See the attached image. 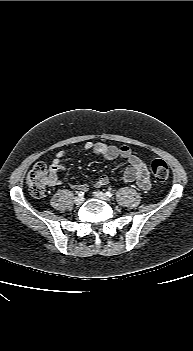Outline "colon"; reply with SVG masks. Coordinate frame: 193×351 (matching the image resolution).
Here are the masks:
<instances>
[{"label": "colon", "instance_id": "colon-1", "mask_svg": "<svg viewBox=\"0 0 193 351\" xmlns=\"http://www.w3.org/2000/svg\"><path fill=\"white\" fill-rule=\"evenodd\" d=\"M154 178L158 181H165L169 177V167L162 159H155L150 165ZM50 178V171L45 163H37L27 176V185L30 193L41 198L46 193L47 183Z\"/></svg>", "mask_w": 193, "mask_h": 351}]
</instances>
